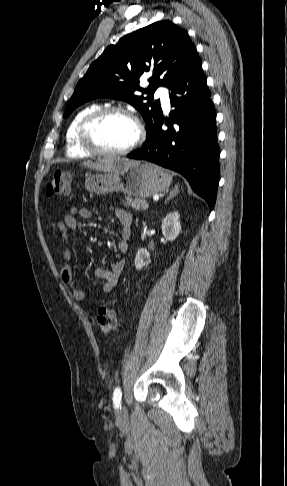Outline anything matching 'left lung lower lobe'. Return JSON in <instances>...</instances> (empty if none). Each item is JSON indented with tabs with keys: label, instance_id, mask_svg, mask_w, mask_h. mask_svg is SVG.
Masks as SVG:
<instances>
[{
	"label": "left lung lower lobe",
	"instance_id": "left-lung-lower-lobe-1",
	"mask_svg": "<svg viewBox=\"0 0 287 486\" xmlns=\"http://www.w3.org/2000/svg\"><path fill=\"white\" fill-rule=\"evenodd\" d=\"M171 121L162 129L161 118L147 130L141 149L128 158L147 160L182 174L192 189L206 200L210 211L219 183V146L216 112L200 58L168 87Z\"/></svg>",
	"mask_w": 287,
	"mask_h": 486
}]
</instances>
